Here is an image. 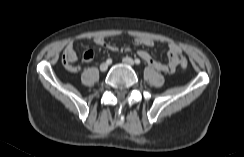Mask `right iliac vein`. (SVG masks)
<instances>
[{
  "mask_svg": "<svg viewBox=\"0 0 244 157\" xmlns=\"http://www.w3.org/2000/svg\"><path fill=\"white\" fill-rule=\"evenodd\" d=\"M99 68H100V70L102 72H104V71H106L108 69V64L107 63H102Z\"/></svg>",
  "mask_w": 244,
  "mask_h": 157,
  "instance_id": "obj_1",
  "label": "right iliac vein"
}]
</instances>
